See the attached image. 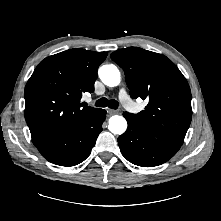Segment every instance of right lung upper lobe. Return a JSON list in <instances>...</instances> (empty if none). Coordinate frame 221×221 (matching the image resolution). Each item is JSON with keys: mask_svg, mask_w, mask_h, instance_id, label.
Returning a JSON list of instances; mask_svg holds the SVG:
<instances>
[{"mask_svg": "<svg viewBox=\"0 0 221 221\" xmlns=\"http://www.w3.org/2000/svg\"><path fill=\"white\" fill-rule=\"evenodd\" d=\"M106 52L70 49L45 58L28 80L25 119L38 146L71 132L84 118L101 109L80 103L82 94L94 92L97 69Z\"/></svg>", "mask_w": 221, "mask_h": 221, "instance_id": "1", "label": "right lung upper lobe"}]
</instances>
